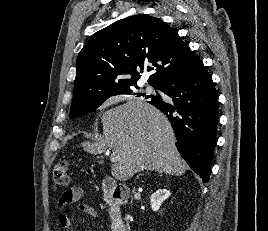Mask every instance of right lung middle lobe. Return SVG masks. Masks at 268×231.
<instances>
[{"label":"right lung middle lobe","instance_id":"right-lung-middle-lobe-1","mask_svg":"<svg viewBox=\"0 0 268 231\" xmlns=\"http://www.w3.org/2000/svg\"><path fill=\"white\" fill-rule=\"evenodd\" d=\"M155 88H159L157 86H154ZM138 88V87H136ZM133 87H129V88H124V89H120L102 99H99L97 101L91 102V103H87V104H82V103H72L71 105V109H70V114L69 117L70 118H76L78 116H82V115H86L94 110H96L100 105H102L108 98H110L111 96H115V95H132L134 94L133 92ZM157 96L153 97V98H157Z\"/></svg>","mask_w":268,"mask_h":231}]
</instances>
